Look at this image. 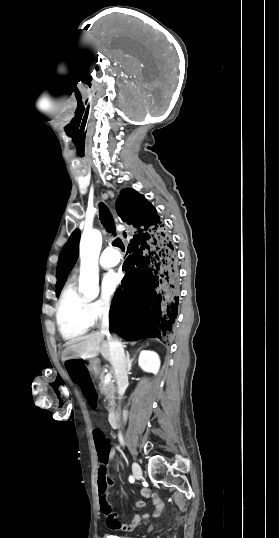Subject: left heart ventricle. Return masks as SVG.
I'll list each match as a JSON object with an SVG mask.
<instances>
[{"mask_svg": "<svg viewBox=\"0 0 279 538\" xmlns=\"http://www.w3.org/2000/svg\"><path fill=\"white\" fill-rule=\"evenodd\" d=\"M79 209H82V207H68V210L78 211Z\"/></svg>", "mask_w": 279, "mask_h": 538, "instance_id": "1", "label": "left heart ventricle"}]
</instances>
